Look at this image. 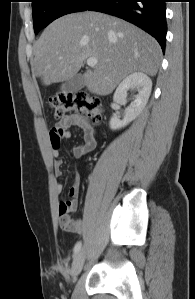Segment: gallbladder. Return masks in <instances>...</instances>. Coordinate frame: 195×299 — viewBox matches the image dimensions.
I'll use <instances>...</instances> for the list:
<instances>
[{
    "instance_id": "obj_1",
    "label": "gallbladder",
    "mask_w": 195,
    "mask_h": 299,
    "mask_svg": "<svg viewBox=\"0 0 195 299\" xmlns=\"http://www.w3.org/2000/svg\"><path fill=\"white\" fill-rule=\"evenodd\" d=\"M85 86V78L83 74H76L70 79L64 81L60 90L64 93H74L79 91Z\"/></svg>"
}]
</instances>
